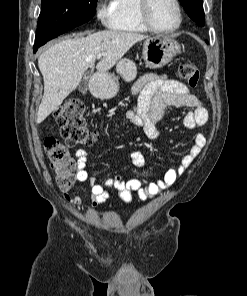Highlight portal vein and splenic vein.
<instances>
[{
  "mask_svg": "<svg viewBox=\"0 0 247 296\" xmlns=\"http://www.w3.org/2000/svg\"><path fill=\"white\" fill-rule=\"evenodd\" d=\"M102 56H103V54H102V53H99V54L97 55V58L100 59Z\"/></svg>",
  "mask_w": 247,
  "mask_h": 296,
  "instance_id": "18ae733b",
  "label": "portal vein and splenic vein"
}]
</instances>
